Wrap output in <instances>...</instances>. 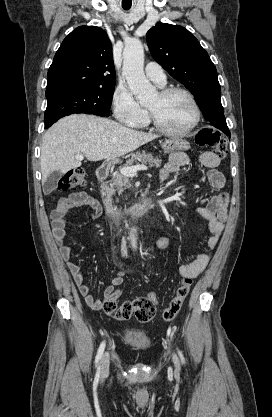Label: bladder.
<instances>
[{
	"mask_svg": "<svg viewBox=\"0 0 272 417\" xmlns=\"http://www.w3.org/2000/svg\"><path fill=\"white\" fill-rule=\"evenodd\" d=\"M123 337L125 343L134 349L145 350L151 346L150 337L142 330L128 328L124 331Z\"/></svg>",
	"mask_w": 272,
	"mask_h": 417,
	"instance_id": "31cf9c89",
	"label": "bladder"
}]
</instances>
